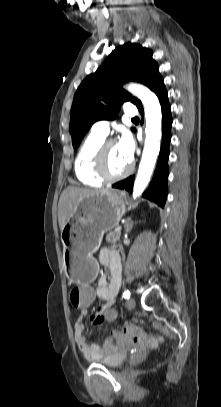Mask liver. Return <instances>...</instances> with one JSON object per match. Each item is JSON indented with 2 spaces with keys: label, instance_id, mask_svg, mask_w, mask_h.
I'll use <instances>...</instances> for the list:
<instances>
[{
  "label": "liver",
  "instance_id": "obj_1",
  "mask_svg": "<svg viewBox=\"0 0 221 407\" xmlns=\"http://www.w3.org/2000/svg\"><path fill=\"white\" fill-rule=\"evenodd\" d=\"M106 189H83L77 187L66 188L58 203V222L60 230L64 228L68 219L73 215L77 203L84 197L90 196Z\"/></svg>",
  "mask_w": 221,
  "mask_h": 407
}]
</instances>
